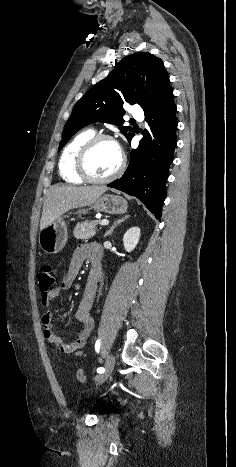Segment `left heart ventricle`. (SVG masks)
Listing matches in <instances>:
<instances>
[{"label": "left heart ventricle", "instance_id": "1", "mask_svg": "<svg viewBox=\"0 0 236 467\" xmlns=\"http://www.w3.org/2000/svg\"><path fill=\"white\" fill-rule=\"evenodd\" d=\"M120 157V150L115 143L100 141L90 153L89 170L96 177H106L116 170Z\"/></svg>", "mask_w": 236, "mask_h": 467}]
</instances>
